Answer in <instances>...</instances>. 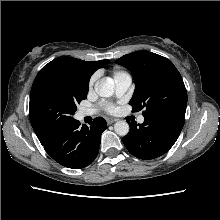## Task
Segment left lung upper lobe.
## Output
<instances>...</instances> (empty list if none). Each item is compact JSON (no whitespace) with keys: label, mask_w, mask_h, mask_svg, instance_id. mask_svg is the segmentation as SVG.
I'll list each match as a JSON object with an SVG mask.
<instances>
[{"label":"left lung upper lobe","mask_w":220,"mask_h":220,"mask_svg":"<svg viewBox=\"0 0 220 220\" xmlns=\"http://www.w3.org/2000/svg\"><path fill=\"white\" fill-rule=\"evenodd\" d=\"M115 62L133 74L136 88L129 102L133 110L144 109V116L164 109L186 108L187 91L184 82L167 58L148 51H137Z\"/></svg>","instance_id":"1"}]
</instances>
